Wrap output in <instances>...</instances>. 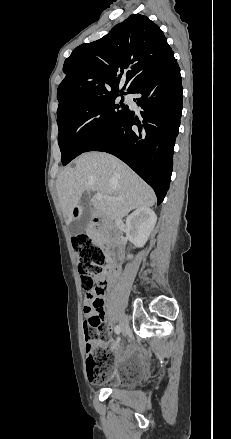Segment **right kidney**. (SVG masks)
<instances>
[{
	"mask_svg": "<svg viewBox=\"0 0 231 439\" xmlns=\"http://www.w3.org/2000/svg\"><path fill=\"white\" fill-rule=\"evenodd\" d=\"M157 216L150 208H139L126 219L127 237L136 247H143L155 227ZM132 258V255H128Z\"/></svg>",
	"mask_w": 231,
	"mask_h": 439,
	"instance_id": "obj_1",
	"label": "right kidney"
}]
</instances>
